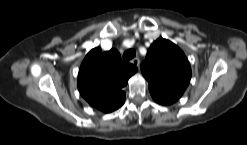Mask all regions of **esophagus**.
Returning a JSON list of instances; mask_svg holds the SVG:
<instances>
[{
	"instance_id": "esophagus-1",
	"label": "esophagus",
	"mask_w": 247,
	"mask_h": 145,
	"mask_svg": "<svg viewBox=\"0 0 247 145\" xmlns=\"http://www.w3.org/2000/svg\"><path fill=\"white\" fill-rule=\"evenodd\" d=\"M131 63L138 67L140 64V60L138 57H136L131 61Z\"/></svg>"
}]
</instances>
